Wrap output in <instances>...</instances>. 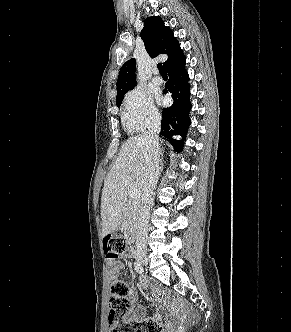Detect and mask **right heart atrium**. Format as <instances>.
<instances>
[{
    "instance_id": "obj_1",
    "label": "right heart atrium",
    "mask_w": 291,
    "mask_h": 332,
    "mask_svg": "<svg viewBox=\"0 0 291 332\" xmlns=\"http://www.w3.org/2000/svg\"><path fill=\"white\" fill-rule=\"evenodd\" d=\"M123 122L131 131H143L160 120V115L151 98L140 88L130 90L124 97Z\"/></svg>"
}]
</instances>
